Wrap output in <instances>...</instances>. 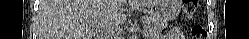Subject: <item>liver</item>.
Returning a JSON list of instances; mask_svg holds the SVG:
<instances>
[{"instance_id": "obj_1", "label": "liver", "mask_w": 249, "mask_h": 39, "mask_svg": "<svg viewBox=\"0 0 249 39\" xmlns=\"http://www.w3.org/2000/svg\"><path fill=\"white\" fill-rule=\"evenodd\" d=\"M127 0H41L39 39H93L100 23L117 29L127 18Z\"/></svg>"}]
</instances>
